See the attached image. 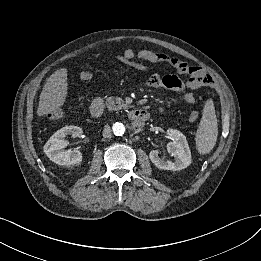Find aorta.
Here are the masks:
<instances>
[{"mask_svg":"<svg viewBox=\"0 0 261 261\" xmlns=\"http://www.w3.org/2000/svg\"><path fill=\"white\" fill-rule=\"evenodd\" d=\"M113 132L116 136H122L125 133V126L120 122H116L113 124Z\"/></svg>","mask_w":261,"mask_h":261,"instance_id":"1","label":"aorta"}]
</instances>
